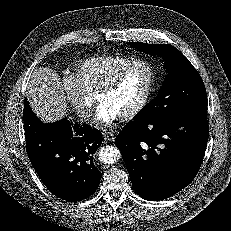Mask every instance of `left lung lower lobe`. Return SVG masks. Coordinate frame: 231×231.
Instances as JSON below:
<instances>
[{"mask_svg":"<svg viewBox=\"0 0 231 231\" xmlns=\"http://www.w3.org/2000/svg\"><path fill=\"white\" fill-rule=\"evenodd\" d=\"M207 108L183 111L159 121H130L115 143L136 193L163 200L187 187L199 171L207 146Z\"/></svg>","mask_w":231,"mask_h":231,"instance_id":"0a47b994","label":"left lung lower lobe"}]
</instances>
